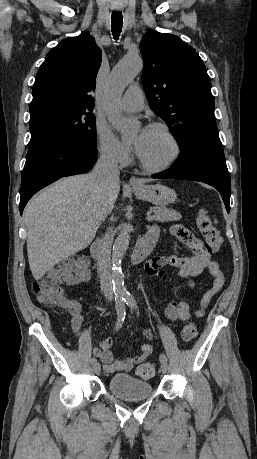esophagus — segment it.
<instances>
[{
  "instance_id": "obj_1",
  "label": "esophagus",
  "mask_w": 257,
  "mask_h": 459,
  "mask_svg": "<svg viewBox=\"0 0 257 459\" xmlns=\"http://www.w3.org/2000/svg\"><path fill=\"white\" fill-rule=\"evenodd\" d=\"M129 184L132 186H137L141 184V181L137 177L132 176L129 180Z\"/></svg>"
}]
</instances>
